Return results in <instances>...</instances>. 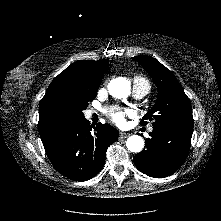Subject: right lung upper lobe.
Listing matches in <instances>:
<instances>
[{"label": "right lung upper lobe", "mask_w": 221, "mask_h": 221, "mask_svg": "<svg viewBox=\"0 0 221 221\" xmlns=\"http://www.w3.org/2000/svg\"><path fill=\"white\" fill-rule=\"evenodd\" d=\"M108 65V59L80 60L54 78L39 105L38 129L41 138L77 120L59 97L62 86L72 82L99 86Z\"/></svg>", "instance_id": "1"}]
</instances>
